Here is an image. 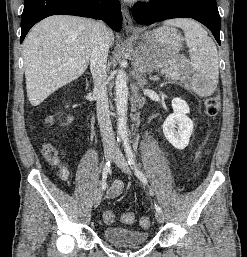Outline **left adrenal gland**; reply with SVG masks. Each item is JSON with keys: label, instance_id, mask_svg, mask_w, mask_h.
<instances>
[{"label": "left adrenal gland", "instance_id": "a2214340", "mask_svg": "<svg viewBox=\"0 0 247 257\" xmlns=\"http://www.w3.org/2000/svg\"><path fill=\"white\" fill-rule=\"evenodd\" d=\"M149 79L152 81H157L159 78L157 76H154V77H150Z\"/></svg>", "mask_w": 247, "mask_h": 257}]
</instances>
